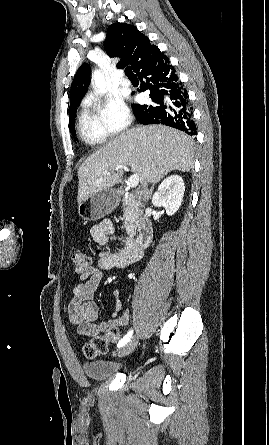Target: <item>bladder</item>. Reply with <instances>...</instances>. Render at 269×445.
I'll return each mask as SVG.
<instances>
[{
    "label": "bladder",
    "instance_id": "31cf9c89",
    "mask_svg": "<svg viewBox=\"0 0 269 445\" xmlns=\"http://www.w3.org/2000/svg\"><path fill=\"white\" fill-rule=\"evenodd\" d=\"M82 369L85 375L93 380L107 379L121 370L117 364L107 360L86 361L82 364ZM123 370L130 374L135 372V368L132 367Z\"/></svg>",
    "mask_w": 269,
    "mask_h": 445
}]
</instances>
